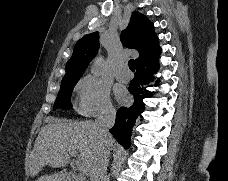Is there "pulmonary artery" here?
<instances>
[{
  "label": "pulmonary artery",
  "instance_id": "obj_1",
  "mask_svg": "<svg viewBox=\"0 0 228 181\" xmlns=\"http://www.w3.org/2000/svg\"><path fill=\"white\" fill-rule=\"evenodd\" d=\"M117 79H129V74H117Z\"/></svg>",
  "mask_w": 228,
  "mask_h": 181
}]
</instances>
